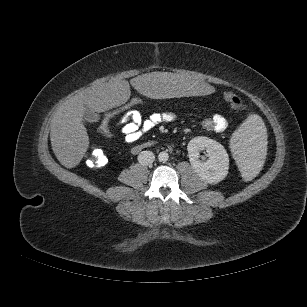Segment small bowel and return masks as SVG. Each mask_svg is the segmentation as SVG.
I'll use <instances>...</instances> for the list:
<instances>
[{
  "label": "small bowel",
  "instance_id": "obj_1",
  "mask_svg": "<svg viewBox=\"0 0 307 307\" xmlns=\"http://www.w3.org/2000/svg\"><path fill=\"white\" fill-rule=\"evenodd\" d=\"M175 120L176 116L172 112H155L144 117L140 111L134 110L117 123L116 128L127 143H134L152 130L161 125L173 123ZM202 126L208 132L221 133L227 129L228 122L224 116L216 114L204 120Z\"/></svg>",
  "mask_w": 307,
  "mask_h": 307
}]
</instances>
